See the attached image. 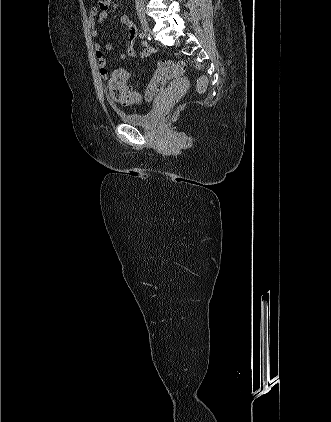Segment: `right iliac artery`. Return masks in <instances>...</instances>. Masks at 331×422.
<instances>
[{
  "instance_id": "1",
  "label": "right iliac artery",
  "mask_w": 331,
  "mask_h": 422,
  "mask_svg": "<svg viewBox=\"0 0 331 422\" xmlns=\"http://www.w3.org/2000/svg\"><path fill=\"white\" fill-rule=\"evenodd\" d=\"M139 36H140V38L143 39V38H145L146 35H145V33L143 31H141L140 34H139Z\"/></svg>"
}]
</instances>
